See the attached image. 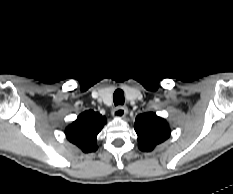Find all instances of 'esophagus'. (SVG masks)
Returning <instances> with one entry per match:
<instances>
[{
  "label": "esophagus",
  "instance_id": "obj_1",
  "mask_svg": "<svg viewBox=\"0 0 233 194\" xmlns=\"http://www.w3.org/2000/svg\"><path fill=\"white\" fill-rule=\"evenodd\" d=\"M127 114V108L118 106L113 110V116L116 118H123Z\"/></svg>",
  "mask_w": 233,
  "mask_h": 194
}]
</instances>
